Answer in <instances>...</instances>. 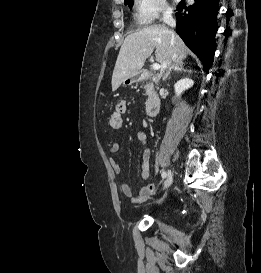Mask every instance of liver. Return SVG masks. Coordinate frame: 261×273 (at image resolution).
Instances as JSON below:
<instances>
[{"label": "liver", "mask_w": 261, "mask_h": 273, "mask_svg": "<svg viewBox=\"0 0 261 273\" xmlns=\"http://www.w3.org/2000/svg\"><path fill=\"white\" fill-rule=\"evenodd\" d=\"M154 49L161 73L169 61L177 63L188 55V48L182 39L163 25L148 26L132 33L120 48L112 75V91H116L124 80L140 74Z\"/></svg>", "instance_id": "liver-1"}]
</instances>
